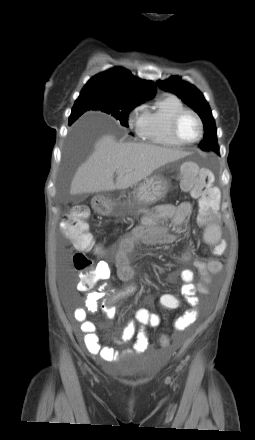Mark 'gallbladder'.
<instances>
[{
    "instance_id": "gallbladder-1",
    "label": "gallbladder",
    "mask_w": 255,
    "mask_h": 440,
    "mask_svg": "<svg viewBox=\"0 0 255 440\" xmlns=\"http://www.w3.org/2000/svg\"><path fill=\"white\" fill-rule=\"evenodd\" d=\"M85 198H86L85 195H79L75 201L76 202H81V201L85 200Z\"/></svg>"
}]
</instances>
